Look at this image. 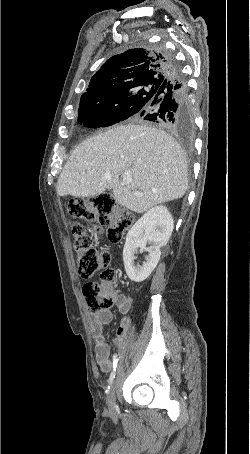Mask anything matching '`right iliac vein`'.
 I'll return each instance as SVG.
<instances>
[{"label":"right iliac vein","instance_id":"right-iliac-vein-1","mask_svg":"<svg viewBox=\"0 0 250 454\" xmlns=\"http://www.w3.org/2000/svg\"><path fill=\"white\" fill-rule=\"evenodd\" d=\"M116 386H117V380H114V382L112 383V386L108 392V397H107V401H108V407H109V411L111 414H115L116 413V406H115V390H116Z\"/></svg>","mask_w":250,"mask_h":454}]
</instances>
